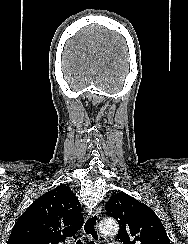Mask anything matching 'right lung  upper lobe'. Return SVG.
Returning a JSON list of instances; mask_svg holds the SVG:
<instances>
[{
    "label": "right lung upper lobe",
    "mask_w": 188,
    "mask_h": 244,
    "mask_svg": "<svg viewBox=\"0 0 188 244\" xmlns=\"http://www.w3.org/2000/svg\"><path fill=\"white\" fill-rule=\"evenodd\" d=\"M80 203L66 185L35 200L15 223L8 244H58L83 225Z\"/></svg>",
    "instance_id": "obj_1"
}]
</instances>
